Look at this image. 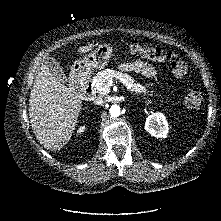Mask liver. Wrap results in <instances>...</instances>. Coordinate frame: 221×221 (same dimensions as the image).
<instances>
[{"label":"liver","instance_id":"6515ba94","mask_svg":"<svg viewBox=\"0 0 221 221\" xmlns=\"http://www.w3.org/2000/svg\"><path fill=\"white\" fill-rule=\"evenodd\" d=\"M93 48L90 44L80 47L78 52L87 53ZM28 110L37 140L47 150L56 151L71 139L82 110V100L42 64L31 89Z\"/></svg>","mask_w":221,"mask_h":221}]
</instances>
